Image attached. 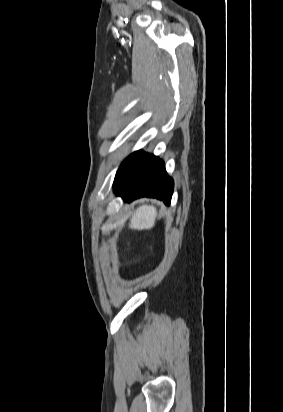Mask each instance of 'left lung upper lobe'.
I'll use <instances>...</instances> for the list:
<instances>
[{"label": "left lung upper lobe", "mask_w": 283, "mask_h": 412, "mask_svg": "<svg viewBox=\"0 0 283 412\" xmlns=\"http://www.w3.org/2000/svg\"><path fill=\"white\" fill-rule=\"evenodd\" d=\"M145 154L146 153H144L143 151H137L128 156L120 165L115 180L118 183L126 182L135 170V168L138 166L142 158L145 156Z\"/></svg>", "instance_id": "obj_1"}]
</instances>
